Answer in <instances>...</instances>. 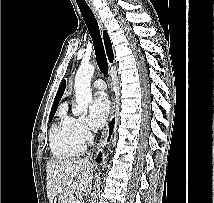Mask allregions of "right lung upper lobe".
I'll list each match as a JSON object with an SVG mask.
<instances>
[{"label":"right lung upper lobe","instance_id":"cb5924a9","mask_svg":"<svg viewBox=\"0 0 214 203\" xmlns=\"http://www.w3.org/2000/svg\"><path fill=\"white\" fill-rule=\"evenodd\" d=\"M103 38H104V44H105V48H106V53L108 55V58H109L110 62H112L113 61L112 44H111L110 38H109V36H108L106 31H104ZM65 85H66V81L63 80L62 83L60 84L59 89L57 91V94L55 96V99H54V102H53V105H52V108H51L50 115H54L55 114L57 106H58V103L61 100V97H62V95L64 93Z\"/></svg>","mask_w":214,"mask_h":203}]
</instances>
